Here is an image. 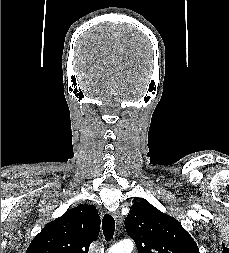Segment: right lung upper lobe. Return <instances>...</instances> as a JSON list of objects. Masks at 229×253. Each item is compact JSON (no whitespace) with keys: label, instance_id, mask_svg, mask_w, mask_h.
Wrapping results in <instances>:
<instances>
[{"label":"right lung upper lobe","instance_id":"right-lung-upper-lobe-1","mask_svg":"<svg viewBox=\"0 0 229 253\" xmlns=\"http://www.w3.org/2000/svg\"><path fill=\"white\" fill-rule=\"evenodd\" d=\"M100 231V216L93 205H78L45 225L26 253H88Z\"/></svg>","mask_w":229,"mask_h":253}]
</instances>
